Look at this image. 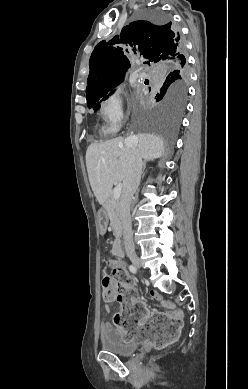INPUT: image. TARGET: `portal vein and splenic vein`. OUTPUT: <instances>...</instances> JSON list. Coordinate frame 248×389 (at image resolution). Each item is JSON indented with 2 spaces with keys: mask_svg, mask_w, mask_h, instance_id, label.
<instances>
[{
  "mask_svg": "<svg viewBox=\"0 0 248 389\" xmlns=\"http://www.w3.org/2000/svg\"><path fill=\"white\" fill-rule=\"evenodd\" d=\"M121 191H122V184L119 183L113 190V197L115 199H119V197L121 195Z\"/></svg>",
  "mask_w": 248,
  "mask_h": 389,
  "instance_id": "18ae733b",
  "label": "portal vein and splenic vein"
}]
</instances>
